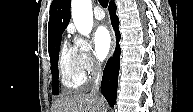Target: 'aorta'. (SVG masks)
<instances>
[{
    "instance_id": "aorta-1",
    "label": "aorta",
    "mask_w": 193,
    "mask_h": 112,
    "mask_svg": "<svg viewBox=\"0 0 193 112\" xmlns=\"http://www.w3.org/2000/svg\"><path fill=\"white\" fill-rule=\"evenodd\" d=\"M71 15L77 31L88 37L93 27L91 0H72Z\"/></svg>"
}]
</instances>
